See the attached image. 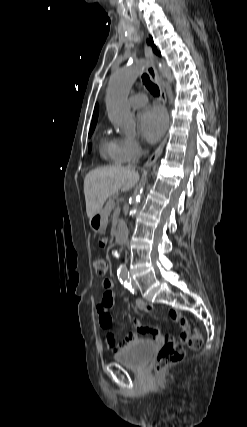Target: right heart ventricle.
<instances>
[{
    "instance_id": "e07e8e85",
    "label": "right heart ventricle",
    "mask_w": 247,
    "mask_h": 427,
    "mask_svg": "<svg viewBox=\"0 0 247 427\" xmlns=\"http://www.w3.org/2000/svg\"><path fill=\"white\" fill-rule=\"evenodd\" d=\"M100 153L102 157L110 162H124L121 140L104 137L100 144Z\"/></svg>"
}]
</instances>
